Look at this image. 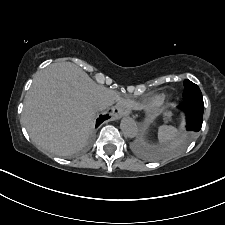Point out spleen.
<instances>
[{"label": "spleen", "instance_id": "3e777b00", "mask_svg": "<svg viewBox=\"0 0 225 225\" xmlns=\"http://www.w3.org/2000/svg\"><path fill=\"white\" fill-rule=\"evenodd\" d=\"M184 122L181 123V128H183ZM177 134V129L173 126H160L158 129V139L159 142L165 143L172 140Z\"/></svg>", "mask_w": 225, "mask_h": 225}]
</instances>
